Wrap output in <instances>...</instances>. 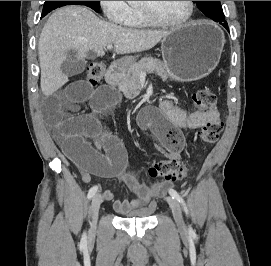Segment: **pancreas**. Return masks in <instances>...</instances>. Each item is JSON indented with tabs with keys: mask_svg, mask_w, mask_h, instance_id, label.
<instances>
[{
	"mask_svg": "<svg viewBox=\"0 0 271 266\" xmlns=\"http://www.w3.org/2000/svg\"><path fill=\"white\" fill-rule=\"evenodd\" d=\"M141 73H156L159 76H164V64L153 57H145L139 62L131 64L119 83L120 90L127 98H134L139 95L141 90L139 76Z\"/></svg>",
	"mask_w": 271,
	"mask_h": 266,
	"instance_id": "pancreas-1",
	"label": "pancreas"
}]
</instances>
